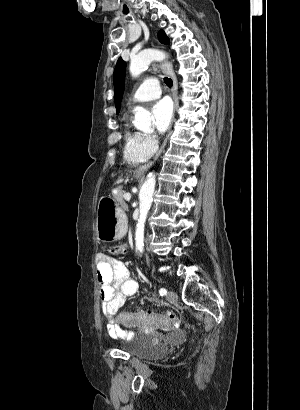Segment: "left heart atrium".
Here are the masks:
<instances>
[{"mask_svg": "<svg viewBox=\"0 0 300 410\" xmlns=\"http://www.w3.org/2000/svg\"><path fill=\"white\" fill-rule=\"evenodd\" d=\"M154 126L159 134L165 133L172 120L173 109L169 100L158 101L152 108Z\"/></svg>", "mask_w": 300, "mask_h": 410, "instance_id": "left-heart-atrium-1", "label": "left heart atrium"}]
</instances>
